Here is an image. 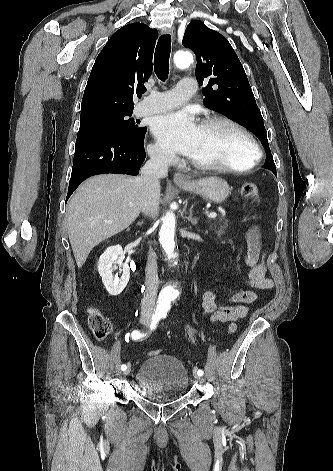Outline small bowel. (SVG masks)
Wrapping results in <instances>:
<instances>
[{"instance_id":"small-bowel-1","label":"small bowel","mask_w":333,"mask_h":471,"mask_svg":"<svg viewBox=\"0 0 333 471\" xmlns=\"http://www.w3.org/2000/svg\"><path fill=\"white\" fill-rule=\"evenodd\" d=\"M246 251L244 263L250 268L248 274L249 285L258 290H267L273 287V280L268 277L264 263V254L260 245L258 228L252 227L245 234ZM258 295L252 290H239L228 296L231 305H220L218 296L214 291H205L202 295L203 315L213 323L234 322L246 318L249 314L248 305L257 301Z\"/></svg>"}]
</instances>
